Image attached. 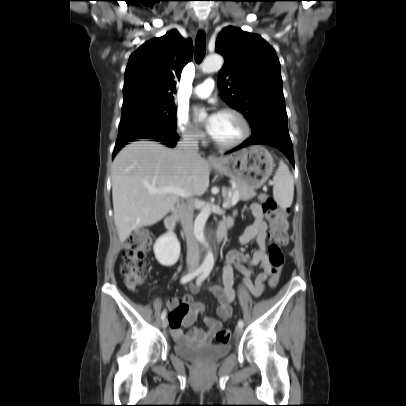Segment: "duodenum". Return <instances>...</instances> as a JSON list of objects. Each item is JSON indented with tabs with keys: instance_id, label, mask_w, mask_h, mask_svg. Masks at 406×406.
Segmentation results:
<instances>
[{
	"instance_id": "obj_1",
	"label": "duodenum",
	"mask_w": 406,
	"mask_h": 406,
	"mask_svg": "<svg viewBox=\"0 0 406 406\" xmlns=\"http://www.w3.org/2000/svg\"><path fill=\"white\" fill-rule=\"evenodd\" d=\"M183 209L184 205L180 204L177 208L173 210V212L169 216L165 218L164 226L168 232H173L175 230ZM231 225L232 222L225 220L218 225L215 233V238L218 243H221L224 240L226 232L231 227Z\"/></svg>"
}]
</instances>
